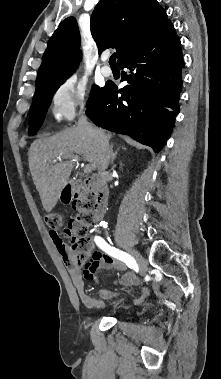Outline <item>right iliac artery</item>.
Here are the masks:
<instances>
[{"instance_id":"1","label":"right iliac artery","mask_w":221,"mask_h":379,"mask_svg":"<svg viewBox=\"0 0 221 379\" xmlns=\"http://www.w3.org/2000/svg\"><path fill=\"white\" fill-rule=\"evenodd\" d=\"M94 240L100 249L113 256L114 258L123 261L129 268H135L137 266L135 259L131 255L111 246L102 237L95 236Z\"/></svg>"}]
</instances>
